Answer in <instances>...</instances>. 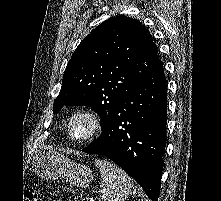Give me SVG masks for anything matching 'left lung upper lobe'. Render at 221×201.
I'll return each instance as SVG.
<instances>
[{
  "mask_svg": "<svg viewBox=\"0 0 221 201\" xmlns=\"http://www.w3.org/2000/svg\"><path fill=\"white\" fill-rule=\"evenodd\" d=\"M149 31L136 19L116 16L81 41L65 69L53 112L88 105L103 128L118 103L161 65Z\"/></svg>",
  "mask_w": 221,
  "mask_h": 201,
  "instance_id": "obj_1",
  "label": "left lung upper lobe"
}]
</instances>
